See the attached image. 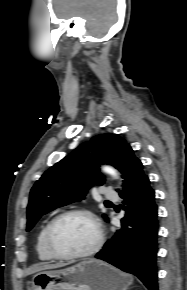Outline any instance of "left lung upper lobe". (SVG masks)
<instances>
[{"label":"left lung upper lobe","mask_w":187,"mask_h":290,"mask_svg":"<svg viewBox=\"0 0 187 290\" xmlns=\"http://www.w3.org/2000/svg\"><path fill=\"white\" fill-rule=\"evenodd\" d=\"M105 163L122 173L124 191L144 175L141 161L123 138L112 133L94 136L52 166L35 183L27 207V231L42 215L83 199L90 186L102 185L105 179L99 173V165ZM103 217L108 221L106 215Z\"/></svg>","instance_id":"5c2ea615"}]
</instances>
